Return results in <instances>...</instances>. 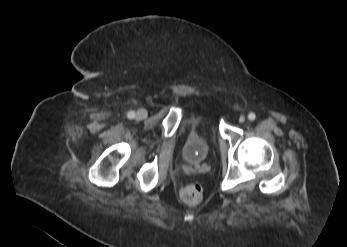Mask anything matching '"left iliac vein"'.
<instances>
[{"mask_svg": "<svg viewBox=\"0 0 347 247\" xmlns=\"http://www.w3.org/2000/svg\"><path fill=\"white\" fill-rule=\"evenodd\" d=\"M244 121H245V117H244V116H240L239 122H240V123H243Z\"/></svg>", "mask_w": 347, "mask_h": 247, "instance_id": "4c4485c4", "label": "left iliac vein"}]
</instances>
